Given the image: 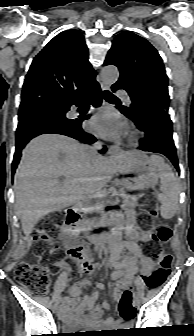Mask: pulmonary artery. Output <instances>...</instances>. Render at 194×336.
Instances as JSON below:
<instances>
[{"label":"pulmonary artery","instance_id":"obj_1","mask_svg":"<svg viewBox=\"0 0 194 336\" xmlns=\"http://www.w3.org/2000/svg\"><path fill=\"white\" fill-rule=\"evenodd\" d=\"M116 95L119 96L125 103H130L131 102L130 98L122 90H118L116 92Z\"/></svg>","mask_w":194,"mask_h":336}]
</instances>
